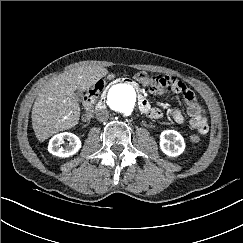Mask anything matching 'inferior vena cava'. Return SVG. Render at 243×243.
<instances>
[{
  "label": "inferior vena cava",
  "instance_id": "602c4592",
  "mask_svg": "<svg viewBox=\"0 0 243 243\" xmlns=\"http://www.w3.org/2000/svg\"><path fill=\"white\" fill-rule=\"evenodd\" d=\"M96 118L98 121H106L109 118V111L102 109L96 113Z\"/></svg>",
  "mask_w": 243,
  "mask_h": 243
}]
</instances>
